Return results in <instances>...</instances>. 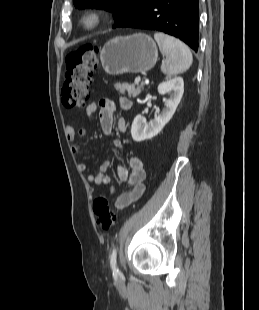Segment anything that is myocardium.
Instances as JSON below:
<instances>
[{"label":"myocardium","mask_w":259,"mask_h":310,"mask_svg":"<svg viewBox=\"0 0 259 310\" xmlns=\"http://www.w3.org/2000/svg\"><path fill=\"white\" fill-rule=\"evenodd\" d=\"M103 22V14L99 10H89L81 19L82 27L87 31L97 29Z\"/></svg>","instance_id":"1"}]
</instances>
